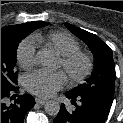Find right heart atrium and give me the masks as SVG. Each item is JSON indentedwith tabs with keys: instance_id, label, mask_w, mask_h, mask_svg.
I'll return each instance as SVG.
<instances>
[{
	"instance_id": "right-heart-atrium-1",
	"label": "right heart atrium",
	"mask_w": 123,
	"mask_h": 123,
	"mask_svg": "<svg viewBox=\"0 0 123 123\" xmlns=\"http://www.w3.org/2000/svg\"><path fill=\"white\" fill-rule=\"evenodd\" d=\"M17 61L23 69H30L36 61V45L31 38L21 42L17 49Z\"/></svg>"
}]
</instances>
